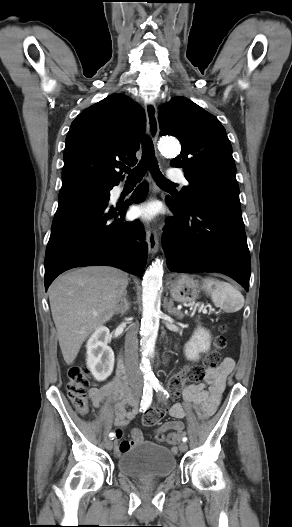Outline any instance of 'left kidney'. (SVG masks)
Masks as SVG:
<instances>
[{
  "label": "left kidney",
  "mask_w": 292,
  "mask_h": 527,
  "mask_svg": "<svg viewBox=\"0 0 292 527\" xmlns=\"http://www.w3.org/2000/svg\"><path fill=\"white\" fill-rule=\"evenodd\" d=\"M210 333L202 327H198L190 340L185 344L184 352L188 360L196 361L199 354L210 349Z\"/></svg>",
  "instance_id": "left-kidney-1"
}]
</instances>
